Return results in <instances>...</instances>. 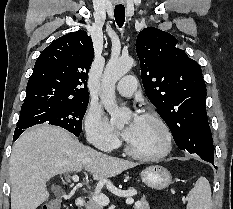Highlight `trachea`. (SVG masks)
I'll return each instance as SVG.
<instances>
[{
    "label": "trachea",
    "mask_w": 233,
    "mask_h": 209,
    "mask_svg": "<svg viewBox=\"0 0 233 209\" xmlns=\"http://www.w3.org/2000/svg\"><path fill=\"white\" fill-rule=\"evenodd\" d=\"M114 17L117 25L121 28L125 21V8L124 6H115Z\"/></svg>",
    "instance_id": "1"
}]
</instances>
